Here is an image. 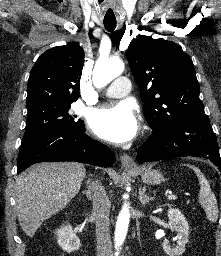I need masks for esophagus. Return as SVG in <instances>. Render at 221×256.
Instances as JSON below:
<instances>
[{"label":"esophagus","mask_w":221,"mask_h":256,"mask_svg":"<svg viewBox=\"0 0 221 256\" xmlns=\"http://www.w3.org/2000/svg\"><path fill=\"white\" fill-rule=\"evenodd\" d=\"M120 160H121V165L124 168H135L136 167V164H135L133 158L128 154L122 155Z\"/></svg>","instance_id":"1"}]
</instances>
